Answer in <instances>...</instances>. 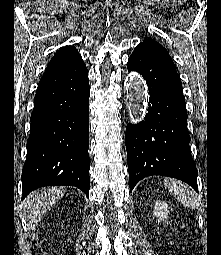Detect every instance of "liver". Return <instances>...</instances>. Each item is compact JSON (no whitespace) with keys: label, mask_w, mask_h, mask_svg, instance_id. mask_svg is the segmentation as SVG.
I'll use <instances>...</instances> for the list:
<instances>
[{"label":"liver","mask_w":221,"mask_h":255,"mask_svg":"<svg viewBox=\"0 0 221 255\" xmlns=\"http://www.w3.org/2000/svg\"><path fill=\"white\" fill-rule=\"evenodd\" d=\"M66 193L63 187L43 188L32 192L24 202V217L34 230L45 212Z\"/></svg>","instance_id":"6515ba94"}]
</instances>
